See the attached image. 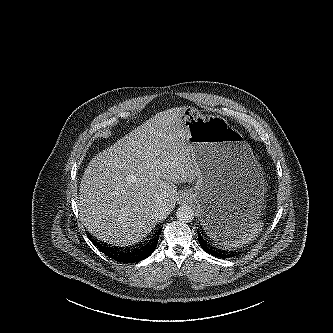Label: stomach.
<instances>
[{
    "label": "stomach",
    "mask_w": 333,
    "mask_h": 333,
    "mask_svg": "<svg viewBox=\"0 0 333 333\" xmlns=\"http://www.w3.org/2000/svg\"><path fill=\"white\" fill-rule=\"evenodd\" d=\"M181 109L197 171L189 195L201 214V229L217 247H244L256 237L262 215V168L243 135L227 120L188 106Z\"/></svg>",
    "instance_id": "0dacf381"
}]
</instances>
